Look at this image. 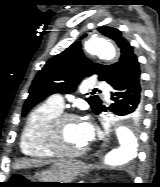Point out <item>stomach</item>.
<instances>
[{"mask_svg": "<svg viewBox=\"0 0 160 187\" xmlns=\"http://www.w3.org/2000/svg\"><path fill=\"white\" fill-rule=\"evenodd\" d=\"M82 169L81 164L73 159H60L53 163V165L42 171L34 182H47L37 183L36 186L48 187L57 186L58 183H72L76 176Z\"/></svg>", "mask_w": 160, "mask_h": 187, "instance_id": "0dacf381", "label": "stomach"}]
</instances>
